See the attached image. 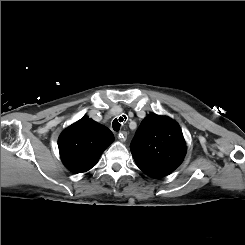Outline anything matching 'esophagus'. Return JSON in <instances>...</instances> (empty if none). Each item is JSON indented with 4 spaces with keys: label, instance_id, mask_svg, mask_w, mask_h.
Wrapping results in <instances>:
<instances>
[{
    "label": "esophagus",
    "instance_id": "34e87169",
    "mask_svg": "<svg viewBox=\"0 0 245 245\" xmlns=\"http://www.w3.org/2000/svg\"><path fill=\"white\" fill-rule=\"evenodd\" d=\"M118 138L121 142H125L127 140V132L122 131L118 134Z\"/></svg>",
    "mask_w": 245,
    "mask_h": 245
}]
</instances>
